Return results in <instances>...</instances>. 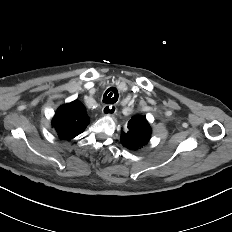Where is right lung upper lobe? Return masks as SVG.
I'll return each instance as SVG.
<instances>
[{"label": "right lung upper lobe", "mask_w": 232, "mask_h": 232, "mask_svg": "<svg viewBox=\"0 0 232 232\" xmlns=\"http://www.w3.org/2000/svg\"><path fill=\"white\" fill-rule=\"evenodd\" d=\"M89 122L85 107L75 100L58 108L52 120V127L60 139L71 140L82 133Z\"/></svg>", "instance_id": "1"}]
</instances>
